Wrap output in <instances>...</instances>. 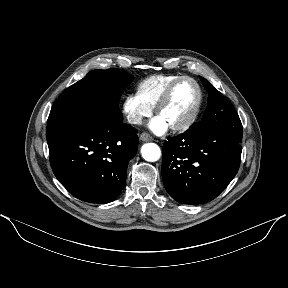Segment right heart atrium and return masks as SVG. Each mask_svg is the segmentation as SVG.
I'll return each mask as SVG.
<instances>
[{
    "mask_svg": "<svg viewBox=\"0 0 288 288\" xmlns=\"http://www.w3.org/2000/svg\"><path fill=\"white\" fill-rule=\"evenodd\" d=\"M122 110L128 122L133 125L140 124L152 114V108L144 104L136 94H128L124 97Z\"/></svg>",
    "mask_w": 288,
    "mask_h": 288,
    "instance_id": "right-heart-atrium-1",
    "label": "right heart atrium"
}]
</instances>
